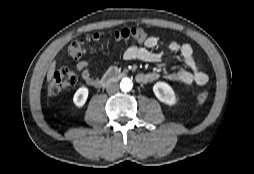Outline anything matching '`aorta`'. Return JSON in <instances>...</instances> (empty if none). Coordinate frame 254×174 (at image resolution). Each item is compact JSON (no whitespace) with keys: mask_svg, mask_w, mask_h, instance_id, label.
Masks as SVG:
<instances>
[{"mask_svg":"<svg viewBox=\"0 0 254 174\" xmlns=\"http://www.w3.org/2000/svg\"><path fill=\"white\" fill-rule=\"evenodd\" d=\"M133 83L129 78H123L120 82V88L124 92H128L132 89Z\"/></svg>","mask_w":254,"mask_h":174,"instance_id":"aorta-1","label":"aorta"}]
</instances>
